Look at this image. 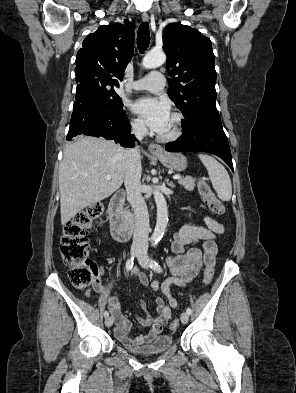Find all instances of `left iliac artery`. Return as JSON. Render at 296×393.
Here are the masks:
<instances>
[{"instance_id": "left-iliac-artery-1", "label": "left iliac artery", "mask_w": 296, "mask_h": 393, "mask_svg": "<svg viewBox=\"0 0 296 393\" xmlns=\"http://www.w3.org/2000/svg\"><path fill=\"white\" fill-rule=\"evenodd\" d=\"M150 268H152L154 271L158 273L162 272L161 266L153 259L150 260ZM186 312L188 313V315L192 314V310L190 308H187Z\"/></svg>"}]
</instances>
